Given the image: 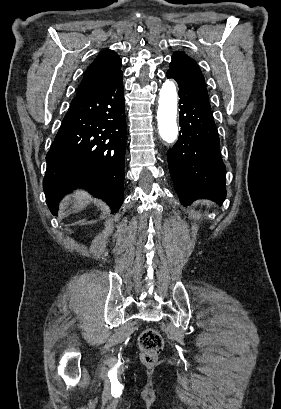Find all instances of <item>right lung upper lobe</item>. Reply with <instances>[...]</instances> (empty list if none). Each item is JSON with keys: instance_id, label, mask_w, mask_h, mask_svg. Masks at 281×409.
<instances>
[{"instance_id": "1", "label": "right lung upper lobe", "mask_w": 281, "mask_h": 409, "mask_svg": "<svg viewBox=\"0 0 281 409\" xmlns=\"http://www.w3.org/2000/svg\"><path fill=\"white\" fill-rule=\"evenodd\" d=\"M121 59L112 50L102 51L88 66L76 97L95 93L112 84L122 74Z\"/></svg>"}]
</instances>
